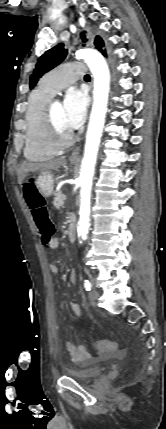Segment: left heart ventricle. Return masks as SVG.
Masks as SVG:
<instances>
[{
	"mask_svg": "<svg viewBox=\"0 0 166 429\" xmlns=\"http://www.w3.org/2000/svg\"><path fill=\"white\" fill-rule=\"evenodd\" d=\"M55 126L61 136H66L71 130L66 126L63 114V104L55 102L51 108Z\"/></svg>",
	"mask_w": 166,
	"mask_h": 429,
	"instance_id": "left-heart-ventricle-1",
	"label": "left heart ventricle"
}]
</instances>
